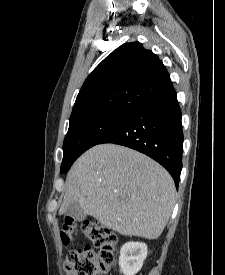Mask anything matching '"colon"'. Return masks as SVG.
I'll list each match as a JSON object with an SVG mask.
<instances>
[{
	"mask_svg": "<svg viewBox=\"0 0 225 275\" xmlns=\"http://www.w3.org/2000/svg\"><path fill=\"white\" fill-rule=\"evenodd\" d=\"M81 228L92 246L79 247L67 253L64 259L66 275H106L115 261L116 235L110 228L94 220L85 221ZM75 230V220L67 217L60 231L64 245L72 242Z\"/></svg>",
	"mask_w": 225,
	"mask_h": 275,
	"instance_id": "5ec220e1",
	"label": "colon"
}]
</instances>
